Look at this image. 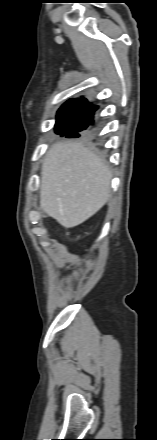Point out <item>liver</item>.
Wrapping results in <instances>:
<instances>
[{
  "label": "liver",
  "instance_id": "1",
  "mask_svg": "<svg viewBox=\"0 0 157 440\" xmlns=\"http://www.w3.org/2000/svg\"><path fill=\"white\" fill-rule=\"evenodd\" d=\"M111 171L94 152L77 142H58L41 171L40 205L64 228L95 215L111 197Z\"/></svg>",
  "mask_w": 157,
  "mask_h": 440
}]
</instances>
